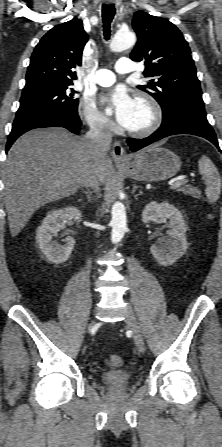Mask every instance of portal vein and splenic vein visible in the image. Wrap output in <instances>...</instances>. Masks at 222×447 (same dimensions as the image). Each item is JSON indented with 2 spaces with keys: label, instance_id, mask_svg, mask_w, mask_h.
Returning a JSON list of instances; mask_svg holds the SVG:
<instances>
[{
  "label": "portal vein and splenic vein",
  "instance_id": "1",
  "mask_svg": "<svg viewBox=\"0 0 222 447\" xmlns=\"http://www.w3.org/2000/svg\"><path fill=\"white\" fill-rule=\"evenodd\" d=\"M187 183H188V180H187V179H179V180H176V181L170 186V189H177V188H179V187H181L182 185L187 184Z\"/></svg>",
  "mask_w": 222,
  "mask_h": 447
}]
</instances>
